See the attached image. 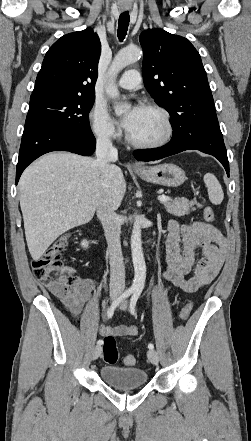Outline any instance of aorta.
Instances as JSON below:
<instances>
[{
	"label": "aorta",
	"instance_id": "obj_1",
	"mask_svg": "<svg viewBox=\"0 0 251 441\" xmlns=\"http://www.w3.org/2000/svg\"><path fill=\"white\" fill-rule=\"evenodd\" d=\"M141 56L142 51L137 47L125 48L118 52L108 70L109 83L106 87V93L109 97L113 99L119 97V90L115 85V78L117 74L127 65L139 60ZM129 108L130 105L128 104L116 107L115 113L117 115H122L123 113L128 111ZM131 251L134 266V280L132 287L137 290H142L144 288L146 278V265L142 250L141 217L138 215L135 217L131 235Z\"/></svg>",
	"mask_w": 251,
	"mask_h": 441
}]
</instances>
